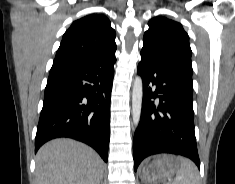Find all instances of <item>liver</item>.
<instances>
[{
	"label": "liver",
	"mask_w": 235,
	"mask_h": 184,
	"mask_svg": "<svg viewBox=\"0 0 235 184\" xmlns=\"http://www.w3.org/2000/svg\"><path fill=\"white\" fill-rule=\"evenodd\" d=\"M103 168L92 148L68 138L47 142L36 156L37 184H100Z\"/></svg>",
	"instance_id": "1"
}]
</instances>
